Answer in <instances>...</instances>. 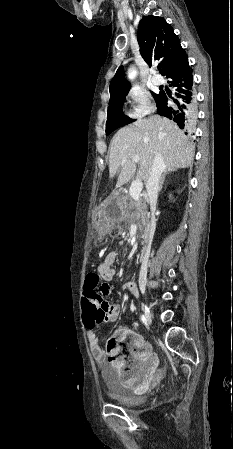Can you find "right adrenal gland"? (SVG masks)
Segmentation results:
<instances>
[{
	"mask_svg": "<svg viewBox=\"0 0 233 449\" xmlns=\"http://www.w3.org/2000/svg\"><path fill=\"white\" fill-rule=\"evenodd\" d=\"M169 172H171V171H169V170H167V169L164 171V173H163V175H162V177H161L160 184H159V191L162 190L163 183H164V180H165V176H166Z\"/></svg>",
	"mask_w": 233,
	"mask_h": 449,
	"instance_id": "1",
	"label": "right adrenal gland"
}]
</instances>
